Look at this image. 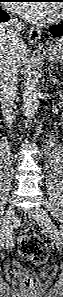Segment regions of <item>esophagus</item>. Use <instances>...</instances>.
I'll list each match as a JSON object with an SVG mask.
<instances>
[{"instance_id": "obj_1", "label": "esophagus", "mask_w": 63, "mask_h": 297, "mask_svg": "<svg viewBox=\"0 0 63 297\" xmlns=\"http://www.w3.org/2000/svg\"><path fill=\"white\" fill-rule=\"evenodd\" d=\"M41 36V32L39 29L35 27H30L28 30V39L30 43L37 44Z\"/></svg>"}]
</instances>
